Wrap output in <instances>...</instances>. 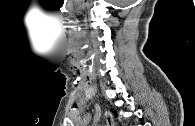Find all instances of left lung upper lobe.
<instances>
[{
  "label": "left lung upper lobe",
  "instance_id": "5c2ea615",
  "mask_svg": "<svg viewBox=\"0 0 195 126\" xmlns=\"http://www.w3.org/2000/svg\"><path fill=\"white\" fill-rule=\"evenodd\" d=\"M112 112H113L115 115H117L116 112H115L113 109H112Z\"/></svg>",
  "mask_w": 195,
  "mask_h": 126
}]
</instances>
